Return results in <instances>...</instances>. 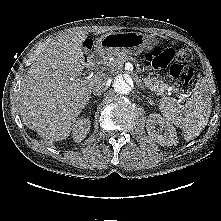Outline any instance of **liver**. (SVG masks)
Masks as SVG:
<instances>
[{"label": "liver", "instance_id": "liver-1", "mask_svg": "<svg viewBox=\"0 0 221 221\" xmlns=\"http://www.w3.org/2000/svg\"><path fill=\"white\" fill-rule=\"evenodd\" d=\"M87 32L58 36L40 53L21 84L24 122L42 138L66 139L101 77L81 78L85 68L82 43Z\"/></svg>", "mask_w": 221, "mask_h": 221}]
</instances>
